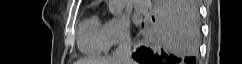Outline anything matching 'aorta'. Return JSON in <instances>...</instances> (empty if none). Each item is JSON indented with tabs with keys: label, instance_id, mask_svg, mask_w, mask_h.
<instances>
[{
	"label": "aorta",
	"instance_id": "762f6f07",
	"mask_svg": "<svg viewBox=\"0 0 242 64\" xmlns=\"http://www.w3.org/2000/svg\"><path fill=\"white\" fill-rule=\"evenodd\" d=\"M127 0H108L109 12L114 16L122 14L126 7Z\"/></svg>",
	"mask_w": 242,
	"mask_h": 64
}]
</instances>
